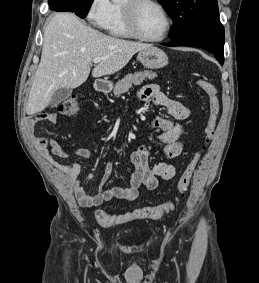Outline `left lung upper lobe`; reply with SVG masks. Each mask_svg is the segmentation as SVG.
Segmentation results:
<instances>
[{"label": "left lung upper lobe", "instance_id": "obj_1", "mask_svg": "<svg viewBox=\"0 0 259 283\" xmlns=\"http://www.w3.org/2000/svg\"><path fill=\"white\" fill-rule=\"evenodd\" d=\"M173 19L171 40H181L219 25L217 0H158Z\"/></svg>", "mask_w": 259, "mask_h": 283}]
</instances>
